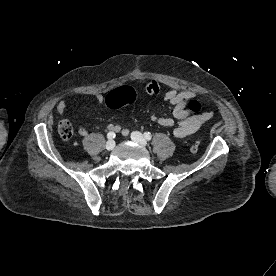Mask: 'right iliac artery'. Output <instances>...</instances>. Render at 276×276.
<instances>
[{
  "label": "right iliac artery",
  "mask_w": 276,
  "mask_h": 276,
  "mask_svg": "<svg viewBox=\"0 0 276 276\" xmlns=\"http://www.w3.org/2000/svg\"><path fill=\"white\" fill-rule=\"evenodd\" d=\"M115 133L114 132H109L108 134H107V138L108 139H113V138H115Z\"/></svg>",
  "instance_id": "1"
}]
</instances>
